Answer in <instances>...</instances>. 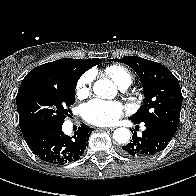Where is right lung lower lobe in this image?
<instances>
[{
	"mask_svg": "<svg viewBox=\"0 0 196 196\" xmlns=\"http://www.w3.org/2000/svg\"><path fill=\"white\" fill-rule=\"evenodd\" d=\"M92 130L82 124L70 137L63 133L62 123H59L33 131L24 138L31 151L41 160L63 165L83 155Z\"/></svg>",
	"mask_w": 196,
	"mask_h": 196,
	"instance_id": "98d812e1",
	"label": "right lung lower lobe"
}]
</instances>
